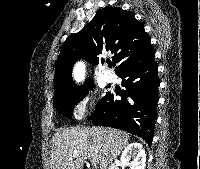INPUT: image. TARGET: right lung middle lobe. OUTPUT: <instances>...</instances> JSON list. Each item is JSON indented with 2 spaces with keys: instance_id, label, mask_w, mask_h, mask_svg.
Masks as SVG:
<instances>
[{
  "instance_id": "obj_1",
  "label": "right lung middle lobe",
  "mask_w": 200,
  "mask_h": 169,
  "mask_svg": "<svg viewBox=\"0 0 200 169\" xmlns=\"http://www.w3.org/2000/svg\"><path fill=\"white\" fill-rule=\"evenodd\" d=\"M92 85H93V81L90 80L86 82L78 90L72 93L54 97L53 103L56 109L65 116H71L75 105H77L78 102H80V100H82L86 96L89 89H91ZM100 102L98 103V105L100 104Z\"/></svg>"
}]
</instances>
